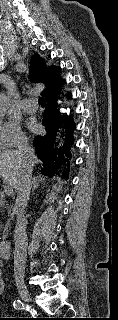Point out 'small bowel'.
Segmentation results:
<instances>
[{
    "instance_id": "1",
    "label": "small bowel",
    "mask_w": 118,
    "mask_h": 320,
    "mask_svg": "<svg viewBox=\"0 0 118 320\" xmlns=\"http://www.w3.org/2000/svg\"><path fill=\"white\" fill-rule=\"evenodd\" d=\"M3 290H4V281L2 278V272L0 270V294L3 292Z\"/></svg>"
}]
</instances>
